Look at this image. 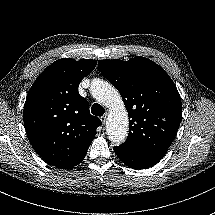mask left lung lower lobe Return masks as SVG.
Returning a JSON list of instances; mask_svg holds the SVG:
<instances>
[{
  "mask_svg": "<svg viewBox=\"0 0 215 215\" xmlns=\"http://www.w3.org/2000/svg\"><path fill=\"white\" fill-rule=\"evenodd\" d=\"M117 157L128 167L133 169H145L159 162L166 152H136L121 146L114 147Z\"/></svg>",
  "mask_w": 215,
  "mask_h": 215,
  "instance_id": "left-lung-lower-lobe-1",
  "label": "left lung lower lobe"
}]
</instances>
